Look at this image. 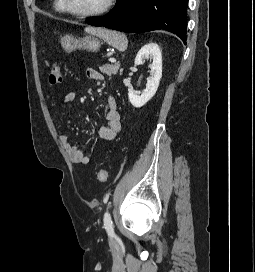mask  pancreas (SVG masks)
<instances>
[{"label": "pancreas", "mask_w": 255, "mask_h": 272, "mask_svg": "<svg viewBox=\"0 0 255 272\" xmlns=\"http://www.w3.org/2000/svg\"><path fill=\"white\" fill-rule=\"evenodd\" d=\"M120 68V63L106 64L99 67L100 71L108 76L116 75Z\"/></svg>", "instance_id": "obj_1"}]
</instances>
